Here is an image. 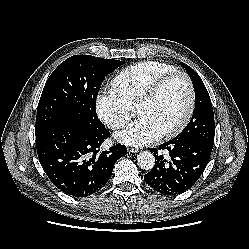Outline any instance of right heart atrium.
I'll list each match as a JSON object with an SVG mask.
<instances>
[{"mask_svg": "<svg viewBox=\"0 0 249 249\" xmlns=\"http://www.w3.org/2000/svg\"><path fill=\"white\" fill-rule=\"evenodd\" d=\"M95 110L98 118L112 130L125 127L133 115L132 107L113 89H102L98 92Z\"/></svg>", "mask_w": 249, "mask_h": 249, "instance_id": "obj_1", "label": "right heart atrium"}]
</instances>
